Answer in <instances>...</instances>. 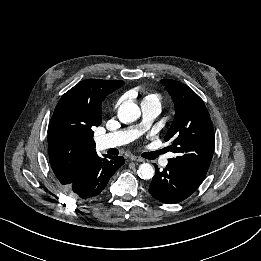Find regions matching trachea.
Wrapping results in <instances>:
<instances>
[{"label": "trachea", "mask_w": 261, "mask_h": 261, "mask_svg": "<svg viewBox=\"0 0 261 261\" xmlns=\"http://www.w3.org/2000/svg\"><path fill=\"white\" fill-rule=\"evenodd\" d=\"M164 153L163 150H159V151H156V152H149L146 154L145 158L147 159H155L159 154H162Z\"/></svg>", "instance_id": "1"}]
</instances>
